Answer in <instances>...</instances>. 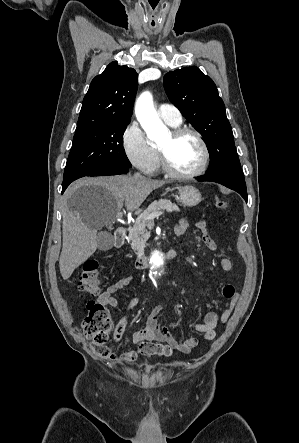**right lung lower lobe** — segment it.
I'll return each mask as SVG.
<instances>
[{"mask_svg": "<svg viewBox=\"0 0 299 443\" xmlns=\"http://www.w3.org/2000/svg\"><path fill=\"white\" fill-rule=\"evenodd\" d=\"M129 171V167L116 166L111 168H105L98 170L94 173L89 174L88 176H103V175H117V174H126ZM69 184H62V193L68 187Z\"/></svg>", "mask_w": 299, "mask_h": 443, "instance_id": "98d812e1", "label": "right lung lower lobe"}]
</instances>
